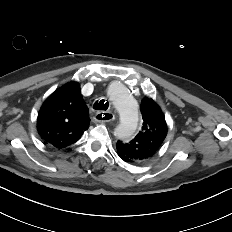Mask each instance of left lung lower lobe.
I'll return each instance as SVG.
<instances>
[{"instance_id":"obj_1","label":"left lung lower lobe","mask_w":232,"mask_h":232,"mask_svg":"<svg viewBox=\"0 0 232 232\" xmlns=\"http://www.w3.org/2000/svg\"><path fill=\"white\" fill-rule=\"evenodd\" d=\"M118 155L120 156V158L122 159V160H124L125 162H128V160L124 157V156H122L121 154H119L118 153ZM130 163V162H129Z\"/></svg>"}]
</instances>
